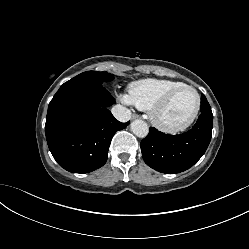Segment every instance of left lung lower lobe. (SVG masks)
I'll use <instances>...</instances> for the list:
<instances>
[{
	"label": "left lung lower lobe",
	"mask_w": 249,
	"mask_h": 249,
	"mask_svg": "<svg viewBox=\"0 0 249 249\" xmlns=\"http://www.w3.org/2000/svg\"><path fill=\"white\" fill-rule=\"evenodd\" d=\"M212 126L211 111L202 112L193 128L180 135H167L150 127L149 134L140 144L145 163L167 174L189 169L207 150L212 136Z\"/></svg>",
	"instance_id": "obj_1"
}]
</instances>
